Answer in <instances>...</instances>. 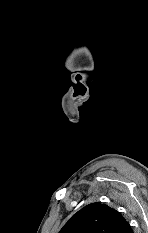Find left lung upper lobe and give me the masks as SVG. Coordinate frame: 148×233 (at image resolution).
<instances>
[{"label":"left lung upper lobe","instance_id":"1","mask_svg":"<svg viewBox=\"0 0 148 233\" xmlns=\"http://www.w3.org/2000/svg\"><path fill=\"white\" fill-rule=\"evenodd\" d=\"M59 233H133V231L118 211L95 202L75 213Z\"/></svg>","mask_w":148,"mask_h":233}]
</instances>
